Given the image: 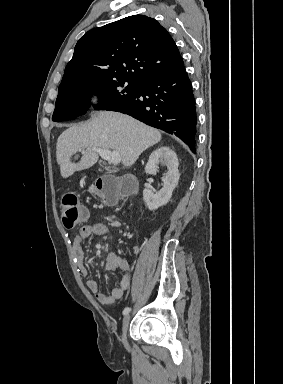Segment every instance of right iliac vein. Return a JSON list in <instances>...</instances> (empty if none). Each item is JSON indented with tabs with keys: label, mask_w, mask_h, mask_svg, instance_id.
<instances>
[{
	"label": "right iliac vein",
	"mask_w": 283,
	"mask_h": 384,
	"mask_svg": "<svg viewBox=\"0 0 283 384\" xmlns=\"http://www.w3.org/2000/svg\"><path fill=\"white\" fill-rule=\"evenodd\" d=\"M129 324H130V315L128 313L125 315L122 323V342L126 348H128L126 334L128 331Z\"/></svg>",
	"instance_id": "obj_1"
}]
</instances>
